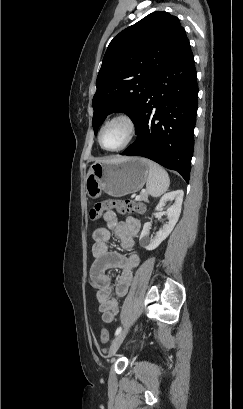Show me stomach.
<instances>
[{"instance_id":"0dacf381","label":"stomach","mask_w":243,"mask_h":409,"mask_svg":"<svg viewBox=\"0 0 243 409\" xmlns=\"http://www.w3.org/2000/svg\"><path fill=\"white\" fill-rule=\"evenodd\" d=\"M149 175L148 165L140 158L119 157L93 163L86 175L87 195L96 199L102 192L123 197L139 191Z\"/></svg>"}]
</instances>
